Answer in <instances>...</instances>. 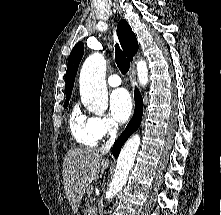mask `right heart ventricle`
I'll return each instance as SVG.
<instances>
[{
	"label": "right heart ventricle",
	"mask_w": 221,
	"mask_h": 215,
	"mask_svg": "<svg viewBox=\"0 0 221 215\" xmlns=\"http://www.w3.org/2000/svg\"><path fill=\"white\" fill-rule=\"evenodd\" d=\"M69 127L74 139L84 146H95L98 137L92 130L91 118L82 113L78 105L72 108L69 117Z\"/></svg>",
	"instance_id": "obj_1"
}]
</instances>
